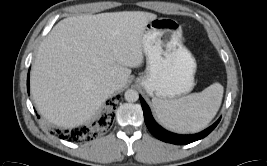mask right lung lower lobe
<instances>
[{
	"label": "right lung lower lobe",
	"instance_id": "obj_1",
	"mask_svg": "<svg viewBox=\"0 0 267 166\" xmlns=\"http://www.w3.org/2000/svg\"><path fill=\"white\" fill-rule=\"evenodd\" d=\"M27 89L29 92V75L27 78ZM109 105V108L106 112L103 113L101 117H99L96 121H94L92 124H89L87 126H82L79 128H75L73 130H66V131H60L56 130V133L59 135L61 139L70 141V142H81L86 139H91L96 135V132L106 127L110 120L113 119V113L112 109H115L114 104L111 101H107L106 103Z\"/></svg>",
	"mask_w": 267,
	"mask_h": 166
}]
</instances>
